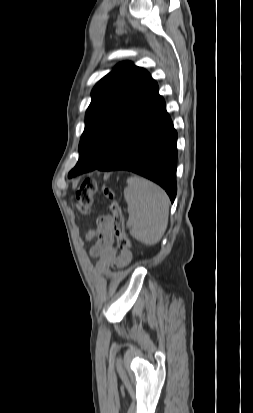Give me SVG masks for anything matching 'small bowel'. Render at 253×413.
<instances>
[{"label": "small bowel", "instance_id": "obj_1", "mask_svg": "<svg viewBox=\"0 0 253 413\" xmlns=\"http://www.w3.org/2000/svg\"><path fill=\"white\" fill-rule=\"evenodd\" d=\"M87 239H95V243L91 248V254L98 259L96 264L98 269L104 270L110 266L122 268L130 263L132 253L130 251H121L118 254L114 245L110 216H100L97 219L95 228L87 233Z\"/></svg>", "mask_w": 253, "mask_h": 413}]
</instances>
